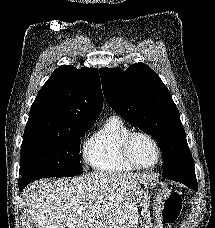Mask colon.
I'll use <instances>...</instances> for the list:
<instances>
[{
    "label": "colon",
    "instance_id": "1",
    "mask_svg": "<svg viewBox=\"0 0 215 228\" xmlns=\"http://www.w3.org/2000/svg\"><path fill=\"white\" fill-rule=\"evenodd\" d=\"M182 198L179 193L172 192L165 200L162 209V218L165 223H174L181 212Z\"/></svg>",
    "mask_w": 215,
    "mask_h": 228
}]
</instances>
